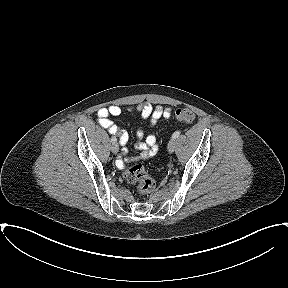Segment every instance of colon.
I'll return each instance as SVG.
<instances>
[{"mask_svg":"<svg viewBox=\"0 0 288 288\" xmlns=\"http://www.w3.org/2000/svg\"><path fill=\"white\" fill-rule=\"evenodd\" d=\"M175 118L181 123L190 124L194 121L195 114L188 108H182L175 112ZM124 178L130 183L137 184V191L141 196H148L155 189L154 180L140 164L128 167L124 171Z\"/></svg>","mask_w":288,"mask_h":288,"instance_id":"obj_1","label":"colon"}]
</instances>
